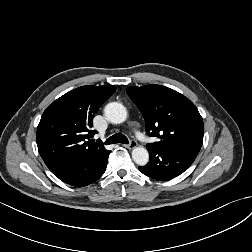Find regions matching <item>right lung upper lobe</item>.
<instances>
[{
	"label": "right lung upper lobe",
	"mask_w": 252,
	"mask_h": 252,
	"mask_svg": "<svg viewBox=\"0 0 252 252\" xmlns=\"http://www.w3.org/2000/svg\"><path fill=\"white\" fill-rule=\"evenodd\" d=\"M116 91L115 86H82L55 100L43 113L37 127L38 151L52 170L83 156H103L109 151L89 140L92 119Z\"/></svg>",
	"instance_id": "right-lung-upper-lobe-1"
}]
</instances>
